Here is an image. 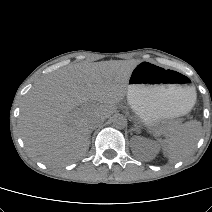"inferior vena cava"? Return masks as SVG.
Returning <instances> with one entry per match:
<instances>
[{
    "instance_id": "obj_1",
    "label": "inferior vena cava",
    "mask_w": 212,
    "mask_h": 212,
    "mask_svg": "<svg viewBox=\"0 0 212 212\" xmlns=\"http://www.w3.org/2000/svg\"><path fill=\"white\" fill-rule=\"evenodd\" d=\"M104 122V118L99 115H93L88 118V127L93 129Z\"/></svg>"
}]
</instances>
